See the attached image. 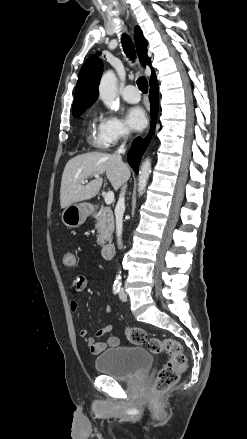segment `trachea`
I'll list each match as a JSON object with an SVG mask.
<instances>
[{"instance_id":"1","label":"trachea","mask_w":247,"mask_h":439,"mask_svg":"<svg viewBox=\"0 0 247 439\" xmlns=\"http://www.w3.org/2000/svg\"><path fill=\"white\" fill-rule=\"evenodd\" d=\"M122 46L127 57L130 58V60L135 59V51H134L133 43L129 38V36L127 35L122 36ZM137 85L143 93L148 92V82L144 76L138 78Z\"/></svg>"}]
</instances>
